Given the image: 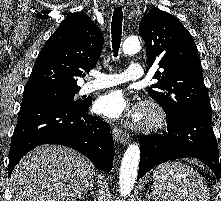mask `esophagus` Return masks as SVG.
Masks as SVG:
<instances>
[{
    "mask_svg": "<svg viewBox=\"0 0 221 201\" xmlns=\"http://www.w3.org/2000/svg\"><path fill=\"white\" fill-rule=\"evenodd\" d=\"M114 1L117 6H120L122 5L124 0H114ZM112 134L114 139L123 145L128 144L130 141L129 135L126 132L122 131L121 129L117 128L116 126L112 127Z\"/></svg>",
    "mask_w": 221,
    "mask_h": 201,
    "instance_id": "obj_1",
    "label": "esophagus"
}]
</instances>
